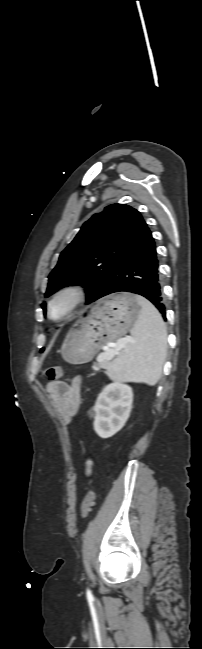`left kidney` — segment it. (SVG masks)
Masks as SVG:
<instances>
[{"label":"left kidney","mask_w":202,"mask_h":649,"mask_svg":"<svg viewBox=\"0 0 202 649\" xmlns=\"http://www.w3.org/2000/svg\"><path fill=\"white\" fill-rule=\"evenodd\" d=\"M133 403V390L119 381L105 386L95 406L94 430L101 438L116 434L129 418Z\"/></svg>","instance_id":"5707ae66"}]
</instances>
